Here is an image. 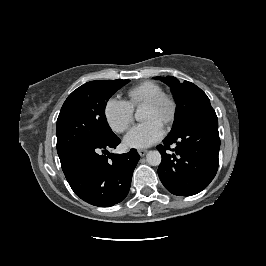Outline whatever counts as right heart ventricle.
<instances>
[{"label": "right heart ventricle", "mask_w": 266, "mask_h": 266, "mask_svg": "<svg viewBox=\"0 0 266 266\" xmlns=\"http://www.w3.org/2000/svg\"><path fill=\"white\" fill-rule=\"evenodd\" d=\"M162 93L164 90L159 84L145 81L128 91L129 103L132 107H139Z\"/></svg>", "instance_id": "e07e8e85"}]
</instances>
